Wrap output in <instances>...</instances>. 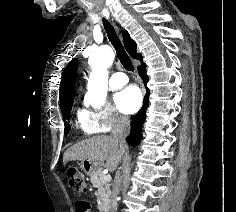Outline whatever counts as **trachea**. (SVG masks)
I'll return each mask as SVG.
<instances>
[{
    "instance_id": "obj_1",
    "label": "trachea",
    "mask_w": 236,
    "mask_h": 212,
    "mask_svg": "<svg viewBox=\"0 0 236 212\" xmlns=\"http://www.w3.org/2000/svg\"><path fill=\"white\" fill-rule=\"evenodd\" d=\"M103 25L106 30L107 36L111 44L116 50V54L121 64L127 71H134V67L132 65L131 59L129 55L126 53L120 39L118 38L114 27L103 18Z\"/></svg>"
}]
</instances>
